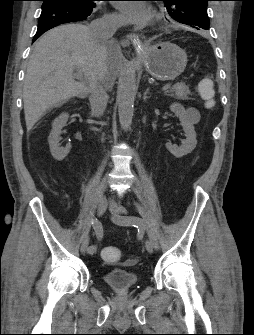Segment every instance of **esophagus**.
Returning a JSON list of instances; mask_svg holds the SVG:
<instances>
[{
    "label": "esophagus",
    "instance_id": "esophagus-1",
    "mask_svg": "<svg viewBox=\"0 0 254 335\" xmlns=\"http://www.w3.org/2000/svg\"><path fill=\"white\" fill-rule=\"evenodd\" d=\"M133 44L139 50H144L146 48L145 44L141 41L138 35L130 33L121 41L123 47H127L130 44Z\"/></svg>",
    "mask_w": 254,
    "mask_h": 335
}]
</instances>
